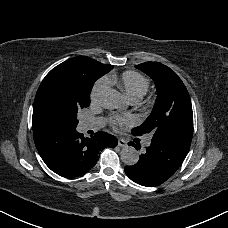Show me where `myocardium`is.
<instances>
[{"mask_svg": "<svg viewBox=\"0 0 228 228\" xmlns=\"http://www.w3.org/2000/svg\"><path fill=\"white\" fill-rule=\"evenodd\" d=\"M130 103L133 105V102L132 101H130Z\"/></svg>", "mask_w": 228, "mask_h": 228, "instance_id": "1", "label": "myocardium"}]
</instances>
